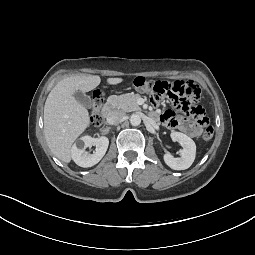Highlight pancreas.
<instances>
[{
    "label": "pancreas",
    "mask_w": 255,
    "mask_h": 255,
    "mask_svg": "<svg viewBox=\"0 0 255 255\" xmlns=\"http://www.w3.org/2000/svg\"><path fill=\"white\" fill-rule=\"evenodd\" d=\"M139 94H124V95H112L108 98V103L114 109H119L124 112L139 111L141 108L137 104Z\"/></svg>",
    "instance_id": "obj_1"
}]
</instances>
